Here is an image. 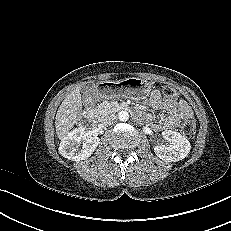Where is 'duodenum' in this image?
Segmentation results:
<instances>
[{"label": "duodenum", "instance_id": "410a0bca", "mask_svg": "<svg viewBox=\"0 0 231 231\" xmlns=\"http://www.w3.org/2000/svg\"><path fill=\"white\" fill-rule=\"evenodd\" d=\"M102 91H105V89L103 88ZM120 109L127 111V110H131V107L127 104H123L120 106ZM135 116H138V113H135ZM95 117H96V113H95L93 105H88L86 112H85L86 120L93 121Z\"/></svg>", "mask_w": 231, "mask_h": 231}]
</instances>
